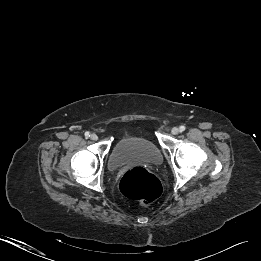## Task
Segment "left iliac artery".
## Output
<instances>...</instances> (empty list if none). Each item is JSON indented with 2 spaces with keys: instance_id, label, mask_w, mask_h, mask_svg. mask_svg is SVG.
<instances>
[{
  "instance_id": "44dca946",
  "label": "left iliac artery",
  "mask_w": 261,
  "mask_h": 261,
  "mask_svg": "<svg viewBox=\"0 0 261 261\" xmlns=\"http://www.w3.org/2000/svg\"><path fill=\"white\" fill-rule=\"evenodd\" d=\"M186 127L184 125L180 126V131L183 132L185 131Z\"/></svg>"
}]
</instances>
